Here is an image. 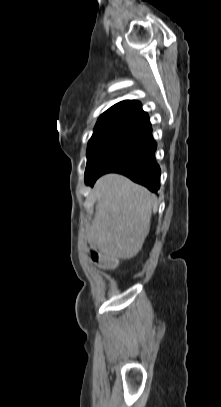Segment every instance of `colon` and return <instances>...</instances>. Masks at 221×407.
<instances>
[{
	"label": "colon",
	"mask_w": 221,
	"mask_h": 407,
	"mask_svg": "<svg viewBox=\"0 0 221 407\" xmlns=\"http://www.w3.org/2000/svg\"><path fill=\"white\" fill-rule=\"evenodd\" d=\"M92 257L95 261H98L101 264L100 268L106 272H109L111 267L118 268V266H121V261L119 259L108 258L107 254H102L101 257L97 254H93Z\"/></svg>",
	"instance_id": "1"
}]
</instances>
